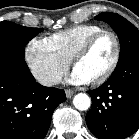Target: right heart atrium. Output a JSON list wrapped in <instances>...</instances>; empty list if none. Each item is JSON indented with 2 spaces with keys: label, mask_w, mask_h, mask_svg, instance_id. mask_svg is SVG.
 Returning a JSON list of instances; mask_svg holds the SVG:
<instances>
[{
  "label": "right heart atrium",
  "mask_w": 139,
  "mask_h": 139,
  "mask_svg": "<svg viewBox=\"0 0 139 139\" xmlns=\"http://www.w3.org/2000/svg\"><path fill=\"white\" fill-rule=\"evenodd\" d=\"M25 60L32 75L45 86L55 84L70 64L46 38H34L27 44Z\"/></svg>",
  "instance_id": "d8ad5b80"
}]
</instances>
